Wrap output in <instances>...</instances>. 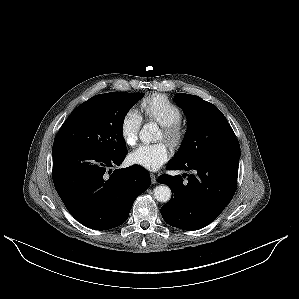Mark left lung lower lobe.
Segmentation results:
<instances>
[{
	"label": "left lung lower lobe",
	"mask_w": 299,
	"mask_h": 299,
	"mask_svg": "<svg viewBox=\"0 0 299 299\" xmlns=\"http://www.w3.org/2000/svg\"><path fill=\"white\" fill-rule=\"evenodd\" d=\"M239 158L240 146L235 140L195 159L171 161L167 170H195V174H185L188 181H183L185 175L158 178L172 191L171 200L161 208L163 219L173 227L191 231L214 221L235 194Z\"/></svg>",
	"instance_id": "left-lung-lower-lobe-1"
}]
</instances>
